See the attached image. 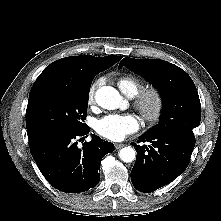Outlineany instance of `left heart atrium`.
Wrapping results in <instances>:
<instances>
[{
  "mask_svg": "<svg viewBox=\"0 0 221 221\" xmlns=\"http://www.w3.org/2000/svg\"><path fill=\"white\" fill-rule=\"evenodd\" d=\"M138 128L139 121L133 114H110L96 123L97 133L111 141H121Z\"/></svg>",
  "mask_w": 221,
  "mask_h": 221,
  "instance_id": "1",
  "label": "left heart atrium"
}]
</instances>
